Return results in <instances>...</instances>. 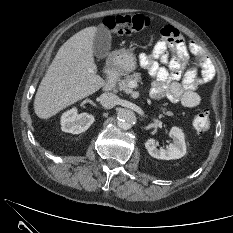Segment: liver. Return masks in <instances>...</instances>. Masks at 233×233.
Instances as JSON below:
<instances>
[{
    "mask_svg": "<svg viewBox=\"0 0 233 233\" xmlns=\"http://www.w3.org/2000/svg\"><path fill=\"white\" fill-rule=\"evenodd\" d=\"M96 31L95 26L84 28L59 48L35 95L39 118H50L105 85L93 58Z\"/></svg>",
    "mask_w": 233,
    "mask_h": 233,
    "instance_id": "1",
    "label": "liver"
}]
</instances>
